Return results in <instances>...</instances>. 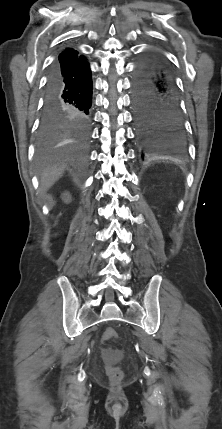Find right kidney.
Listing matches in <instances>:
<instances>
[{
  "instance_id": "1",
  "label": "right kidney",
  "mask_w": 222,
  "mask_h": 429,
  "mask_svg": "<svg viewBox=\"0 0 222 429\" xmlns=\"http://www.w3.org/2000/svg\"><path fill=\"white\" fill-rule=\"evenodd\" d=\"M62 199H63L66 203L70 202V201H71V195H70V193H69V192H64V193L62 194Z\"/></svg>"
}]
</instances>
